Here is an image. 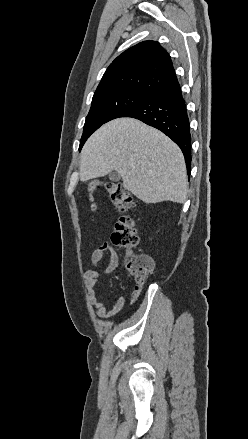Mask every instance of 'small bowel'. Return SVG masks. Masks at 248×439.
Instances as JSON below:
<instances>
[{
  "mask_svg": "<svg viewBox=\"0 0 248 439\" xmlns=\"http://www.w3.org/2000/svg\"><path fill=\"white\" fill-rule=\"evenodd\" d=\"M105 254H108L109 261L103 268L101 266V261ZM90 262L92 268L86 270L83 274L88 301L95 308L97 317L101 319L112 318L122 310L126 304L127 298L121 296L111 307H108L104 302L98 299L95 286L101 275L111 274L118 267L119 256L109 243H103L94 249L90 257ZM141 290L142 286L134 287L130 297V305H133L137 301Z\"/></svg>",
  "mask_w": 248,
  "mask_h": 439,
  "instance_id": "c3829d8e",
  "label": "small bowel"
}]
</instances>
